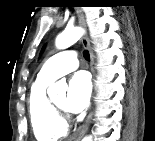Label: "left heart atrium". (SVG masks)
<instances>
[{"label": "left heart atrium", "mask_w": 155, "mask_h": 141, "mask_svg": "<svg viewBox=\"0 0 155 141\" xmlns=\"http://www.w3.org/2000/svg\"><path fill=\"white\" fill-rule=\"evenodd\" d=\"M91 95V83L85 72L76 73L69 82L65 101L66 109L71 113H80L86 109Z\"/></svg>", "instance_id": "39dd6f15"}]
</instances>
